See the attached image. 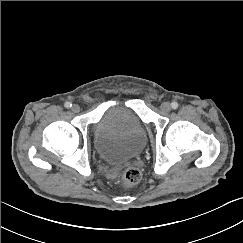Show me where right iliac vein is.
Wrapping results in <instances>:
<instances>
[{
	"label": "right iliac vein",
	"mask_w": 243,
	"mask_h": 243,
	"mask_svg": "<svg viewBox=\"0 0 243 243\" xmlns=\"http://www.w3.org/2000/svg\"><path fill=\"white\" fill-rule=\"evenodd\" d=\"M71 109L74 113H78L81 110L78 104H74Z\"/></svg>",
	"instance_id": "1"
}]
</instances>
